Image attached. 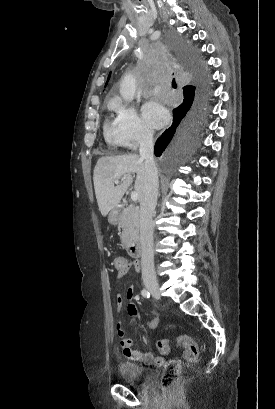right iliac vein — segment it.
<instances>
[{
  "label": "right iliac vein",
  "mask_w": 275,
  "mask_h": 409,
  "mask_svg": "<svg viewBox=\"0 0 275 409\" xmlns=\"http://www.w3.org/2000/svg\"><path fill=\"white\" fill-rule=\"evenodd\" d=\"M145 286L155 298H161V292L159 289V284L157 282L146 281Z\"/></svg>",
  "instance_id": "obj_1"
}]
</instances>
